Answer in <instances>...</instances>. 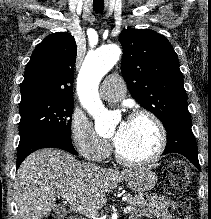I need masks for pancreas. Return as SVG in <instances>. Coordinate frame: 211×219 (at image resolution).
<instances>
[{
  "label": "pancreas",
  "instance_id": "1",
  "mask_svg": "<svg viewBox=\"0 0 211 219\" xmlns=\"http://www.w3.org/2000/svg\"><path fill=\"white\" fill-rule=\"evenodd\" d=\"M127 203L131 207V209H136L140 205L145 203V195L144 194H138L135 196H132L130 194H126Z\"/></svg>",
  "mask_w": 211,
  "mask_h": 219
}]
</instances>
